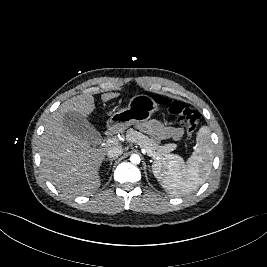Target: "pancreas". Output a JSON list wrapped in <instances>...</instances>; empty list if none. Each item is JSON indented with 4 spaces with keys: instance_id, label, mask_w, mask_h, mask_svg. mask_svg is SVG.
<instances>
[{
    "instance_id": "1",
    "label": "pancreas",
    "mask_w": 267,
    "mask_h": 267,
    "mask_svg": "<svg viewBox=\"0 0 267 267\" xmlns=\"http://www.w3.org/2000/svg\"><path fill=\"white\" fill-rule=\"evenodd\" d=\"M126 139L127 141L136 143L141 148L150 151L154 159H169L173 157L171 155V151H173L177 147V145L174 143L160 145L154 140H151L146 135L133 129H129L127 131Z\"/></svg>"
}]
</instances>
